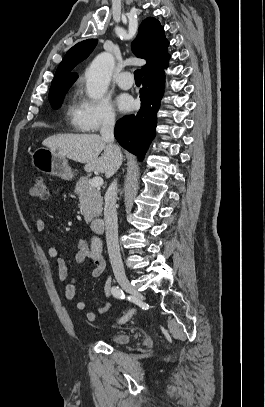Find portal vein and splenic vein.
<instances>
[{"label": "portal vein and splenic vein", "instance_id": "portal-vein-and-splenic-vein-1", "mask_svg": "<svg viewBox=\"0 0 265 407\" xmlns=\"http://www.w3.org/2000/svg\"><path fill=\"white\" fill-rule=\"evenodd\" d=\"M103 184V179L99 176H96L94 178H92V180L90 181V185L92 187H100Z\"/></svg>", "mask_w": 265, "mask_h": 407}]
</instances>
